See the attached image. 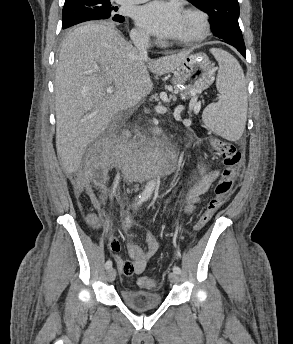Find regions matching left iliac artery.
I'll return each mask as SVG.
<instances>
[{"label": "left iliac artery", "instance_id": "obj_1", "mask_svg": "<svg viewBox=\"0 0 293 344\" xmlns=\"http://www.w3.org/2000/svg\"><path fill=\"white\" fill-rule=\"evenodd\" d=\"M173 271L176 272L177 274H180V273H181L180 267H178V266H176V265L173 266Z\"/></svg>", "mask_w": 293, "mask_h": 344}]
</instances>
